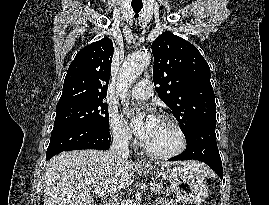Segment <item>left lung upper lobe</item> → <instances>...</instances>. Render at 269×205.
<instances>
[{
	"instance_id": "left-lung-upper-lobe-1",
	"label": "left lung upper lobe",
	"mask_w": 269,
	"mask_h": 205,
	"mask_svg": "<svg viewBox=\"0 0 269 205\" xmlns=\"http://www.w3.org/2000/svg\"><path fill=\"white\" fill-rule=\"evenodd\" d=\"M151 47L156 91L173 111L185 137L203 122H216L210 68L198 49L169 31Z\"/></svg>"
}]
</instances>
